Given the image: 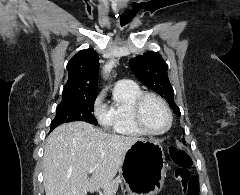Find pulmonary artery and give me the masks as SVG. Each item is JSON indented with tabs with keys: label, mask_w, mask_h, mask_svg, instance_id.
<instances>
[{
	"label": "pulmonary artery",
	"mask_w": 240,
	"mask_h": 195,
	"mask_svg": "<svg viewBox=\"0 0 240 195\" xmlns=\"http://www.w3.org/2000/svg\"><path fill=\"white\" fill-rule=\"evenodd\" d=\"M128 81H129V80H128L127 78H123V79H122V82H123V83H127Z\"/></svg>",
	"instance_id": "pulmonary-artery-1"
}]
</instances>
